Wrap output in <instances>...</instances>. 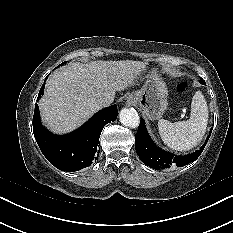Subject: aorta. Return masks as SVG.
<instances>
[{
	"label": "aorta",
	"mask_w": 233,
	"mask_h": 233,
	"mask_svg": "<svg viewBox=\"0 0 233 233\" xmlns=\"http://www.w3.org/2000/svg\"><path fill=\"white\" fill-rule=\"evenodd\" d=\"M120 122L129 128H137L140 123V117L134 108H124L119 114Z\"/></svg>",
	"instance_id": "obj_1"
}]
</instances>
